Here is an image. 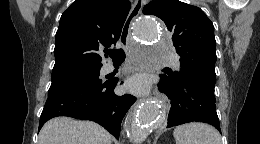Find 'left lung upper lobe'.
Listing matches in <instances>:
<instances>
[{"label": "left lung upper lobe", "mask_w": 260, "mask_h": 144, "mask_svg": "<svg viewBox=\"0 0 260 144\" xmlns=\"http://www.w3.org/2000/svg\"><path fill=\"white\" fill-rule=\"evenodd\" d=\"M143 13L162 19L172 34L181 69L166 73L175 81L193 75L215 86L216 41L213 24L205 13L179 0L151 1L144 6Z\"/></svg>", "instance_id": "5c2ea615"}]
</instances>
